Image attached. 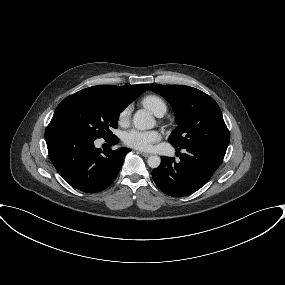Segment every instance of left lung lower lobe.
Returning a JSON list of instances; mask_svg holds the SVG:
<instances>
[{"mask_svg": "<svg viewBox=\"0 0 285 285\" xmlns=\"http://www.w3.org/2000/svg\"><path fill=\"white\" fill-rule=\"evenodd\" d=\"M183 149L186 153L180 155V161L161 157V165L152 172L156 185L173 197L190 195L204 186L226 153L225 148L216 146L195 145Z\"/></svg>", "mask_w": 285, "mask_h": 285, "instance_id": "1", "label": "left lung lower lobe"}]
</instances>
